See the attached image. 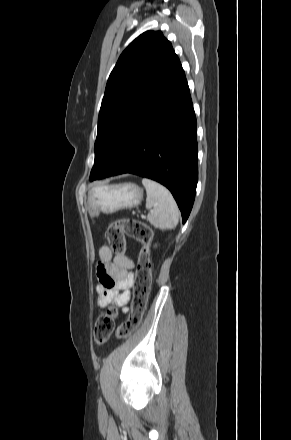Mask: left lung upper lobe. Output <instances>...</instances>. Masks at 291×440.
Segmentation results:
<instances>
[{
	"label": "left lung upper lobe",
	"instance_id": "left-lung-upper-lobe-1",
	"mask_svg": "<svg viewBox=\"0 0 291 440\" xmlns=\"http://www.w3.org/2000/svg\"><path fill=\"white\" fill-rule=\"evenodd\" d=\"M180 65L160 31L144 32L123 51L102 100L90 180L104 170L131 126Z\"/></svg>",
	"mask_w": 291,
	"mask_h": 440
}]
</instances>
